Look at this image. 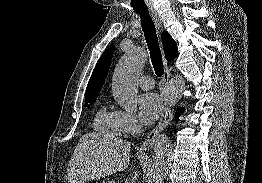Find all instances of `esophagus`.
Returning a JSON list of instances; mask_svg holds the SVG:
<instances>
[{
  "mask_svg": "<svg viewBox=\"0 0 262 183\" xmlns=\"http://www.w3.org/2000/svg\"><path fill=\"white\" fill-rule=\"evenodd\" d=\"M151 17L158 29L161 26L160 16L156 11H151ZM165 70L162 78V86L161 89L164 90L170 79V72L168 70L167 62L164 59ZM172 119V110L166 106H162L161 117L158 125L153 129V131L145 138L141 145V150H149L153 147L156 137L162 132L167 126L170 124Z\"/></svg>",
  "mask_w": 262,
  "mask_h": 183,
  "instance_id": "34e87169",
  "label": "esophagus"
}]
</instances>
